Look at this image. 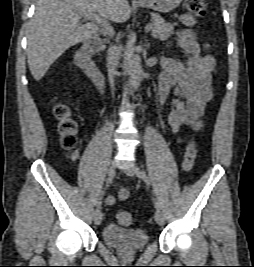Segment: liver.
Here are the masks:
<instances>
[{
  "mask_svg": "<svg viewBox=\"0 0 254 267\" xmlns=\"http://www.w3.org/2000/svg\"><path fill=\"white\" fill-rule=\"evenodd\" d=\"M35 5L27 36V59L36 81L68 48L97 34L99 26L94 21L80 23L84 13L96 14L105 23H123L131 15L127 0H36Z\"/></svg>",
  "mask_w": 254,
  "mask_h": 267,
  "instance_id": "obj_1",
  "label": "liver"
}]
</instances>
